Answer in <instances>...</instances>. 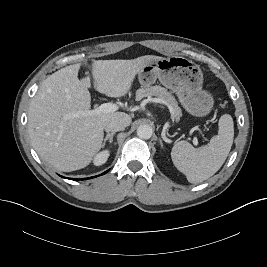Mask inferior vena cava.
Wrapping results in <instances>:
<instances>
[{
  "mask_svg": "<svg viewBox=\"0 0 267 267\" xmlns=\"http://www.w3.org/2000/svg\"><path fill=\"white\" fill-rule=\"evenodd\" d=\"M127 126L126 122L122 119H110L105 122L104 129L106 132L122 131Z\"/></svg>",
  "mask_w": 267,
  "mask_h": 267,
  "instance_id": "1",
  "label": "inferior vena cava"
}]
</instances>
